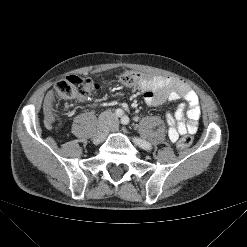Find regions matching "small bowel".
I'll use <instances>...</instances> for the list:
<instances>
[{
    "instance_id": "small-bowel-1",
    "label": "small bowel",
    "mask_w": 247,
    "mask_h": 247,
    "mask_svg": "<svg viewBox=\"0 0 247 247\" xmlns=\"http://www.w3.org/2000/svg\"><path fill=\"white\" fill-rule=\"evenodd\" d=\"M144 92V100L148 106H160L165 101L185 102L175 111L166 113V121L169 126L168 137L176 142L181 135L193 134L198 129V121L201 109L196 93L184 82L172 77H157L139 84ZM55 94L50 92L45 102V124L51 127L54 122Z\"/></svg>"
}]
</instances>
